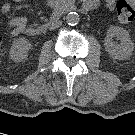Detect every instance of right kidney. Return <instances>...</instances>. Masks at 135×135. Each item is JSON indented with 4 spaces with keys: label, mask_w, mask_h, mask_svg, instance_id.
<instances>
[{
    "label": "right kidney",
    "mask_w": 135,
    "mask_h": 135,
    "mask_svg": "<svg viewBox=\"0 0 135 135\" xmlns=\"http://www.w3.org/2000/svg\"><path fill=\"white\" fill-rule=\"evenodd\" d=\"M31 48V43L25 38L16 39L10 49L9 56L14 62L23 61Z\"/></svg>",
    "instance_id": "ca27d5eb"
}]
</instances>
